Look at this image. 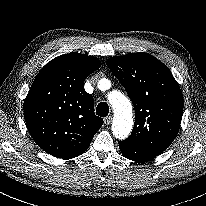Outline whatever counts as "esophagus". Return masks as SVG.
<instances>
[{
	"mask_svg": "<svg viewBox=\"0 0 206 206\" xmlns=\"http://www.w3.org/2000/svg\"><path fill=\"white\" fill-rule=\"evenodd\" d=\"M111 122H112V116H107V117L104 118V123L106 125H110Z\"/></svg>",
	"mask_w": 206,
	"mask_h": 206,
	"instance_id": "esophagus-1",
	"label": "esophagus"
}]
</instances>
